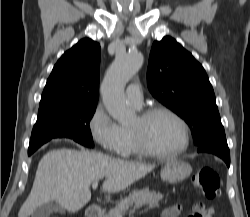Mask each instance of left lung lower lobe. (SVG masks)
Returning a JSON list of instances; mask_svg holds the SVG:
<instances>
[{"instance_id": "0a47b994", "label": "left lung lower lobe", "mask_w": 250, "mask_h": 217, "mask_svg": "<svg viewBox=\"0 0 250 217\" xmlns=\"http://www.w3.org/2000/svg\"><path fill=\"white\" fill-rule=\"evenodd\" d=\"M198 152L212 153L222 158L230 166V151L225 134L216 136L198 147Z\"/></svg>"}]
</instances>
